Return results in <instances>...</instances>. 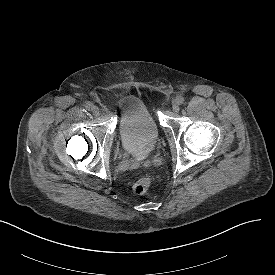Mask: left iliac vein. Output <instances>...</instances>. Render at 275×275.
<instances>
[{
  "label": "left iliac vein",
  "mask_w": 275,
  "mask_h": 275,
  "mask_svg": "<svg viewBox=\"0 0 275 275\" xmlns=\"http://www.w3.org/2000/svg\"><path fill=\"white\" fill-rule=\"evenodd\" d=\"M172 108L175 112H178L179 111V103L177 101V99H174L173 102H172Z\"/></svg>",
  "instance_id": "4c4485c4"
}]
</instances>
